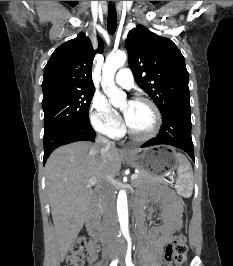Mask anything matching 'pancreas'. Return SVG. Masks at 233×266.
Instances as JSON below:
<instances>
[{"label": "pancreas", "mask_w": 233, "mask_h": 266, "mask_svg": "<svg viewBox=\"0 0 233 266\" xmlns=\"http://www.w3.org/2000/svg\"><path fill=\"white\" fill-rule=\"evenodd\" d=\"M162 183L163 180L162 178H160L159 176L147 173L145 171H139L138 173V177L133 180L132 184L134 187H139L145 184H149V183Z\"/></svg>", "instance_id": "cf45deb5"}]
</instances>
